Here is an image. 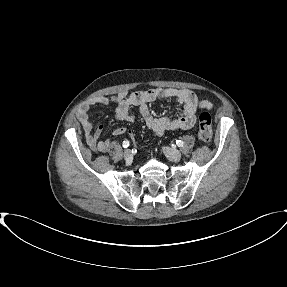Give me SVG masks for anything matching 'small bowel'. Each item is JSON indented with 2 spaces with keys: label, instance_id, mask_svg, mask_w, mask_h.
I'll use <instances>...</instances> for the list:
<instances>
[{
  "label": "small bowel",
  "instance_id": "1",
  "mask_svg": "<svg viewBox=\"0 0 287 287\" xmlns=\"http://www.w3.org/2000/svg\"><path fill=\"white\" fill-rule=\"evenodd\" d=\"M167 99H174L182 105L181 114L177 117L153 116L147 104ZM111 103L115 105V118L119 121L133 122L134 116L130 112V107H138L147 127L156 135H163L168 131L190 129L197 122L196 112L198 109L212 108V104L209 101H200L192 91L187 89L154 88L132 93L121 92L110 98L106 96L93 97L79 108L77 119L85 132L88 146L95 152L108 150L111 141L109 139H99L103 131V125H99L94 129L89 117V110L96 105H108ZM125 133L131 134V131L125 127H118L113 131L114 135Z\"/></svg>",
  "mask_w": 287,
  "mask_h": 287
}]
</instances>
